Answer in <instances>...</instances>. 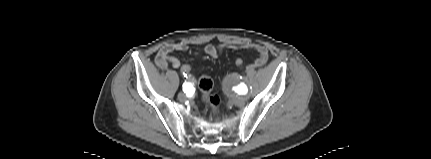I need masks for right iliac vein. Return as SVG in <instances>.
Returning <instances> with one entry per match:
<instances>
[{
  "label": "right iliac vein",
  "mask_w": 431,
  "mask_h": 159,
  "mask_svg": "<svg viewBox=\"0 0 431 159\" xmlns=\"http://www.w3.org/2000/svg\"><path fill=\"white\" fill-rule=\"evenodd\" d=\"M186 98H187V95H186L184 92H180V93L178 94V99H179L180 101H184V100H186Z\"/></svg>",
  "instance_id": "63e3f726"
}]
</instances>
